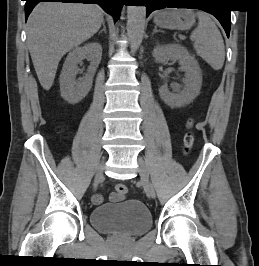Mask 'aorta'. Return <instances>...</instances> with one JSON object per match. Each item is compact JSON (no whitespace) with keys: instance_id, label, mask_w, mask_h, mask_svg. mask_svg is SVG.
<instances>
[{"instance_id":"obj_1","label":"aorta","mask_w":259,"mask_h":266,"mask_svg":"<svg viewBox=\"0 0 259 266\" xmlns=\"http://www.w3.org/2000/svg\"><path fill=\"white\" fill-rule=\"evenodd\" d=\"M145 17V6L127 7V34L132 52H135L142 42L145 26Z\"/></svg>"}]
</instances>
